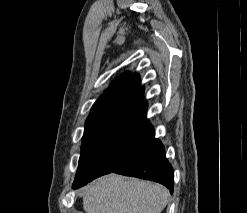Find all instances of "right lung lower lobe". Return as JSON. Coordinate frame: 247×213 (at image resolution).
Wrapping results in <instances>:
<instances>
[{"instance_id":"obj_1","label":"right lung lower lobe","mask_w":247,"mask_h":213,"mask_svg":"<svg viewBox=\"0 0 247 213\" xmlns=\"http://www.w3.org/2000/svg\"><path fill=\"white\" fill-rule=\"evenodd\" d=\"M146 110L145 102L131 109L116 142L99 160L95 178L114 172L158 182L173 193V169L163 144L155 138Z\"/></svg>"}]
</instances>
